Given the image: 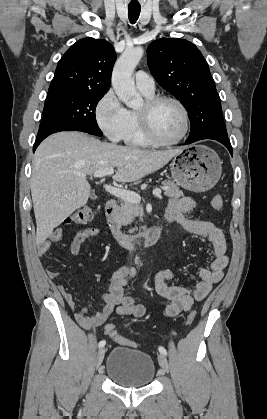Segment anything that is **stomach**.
I'll use <instances>...</instances> for the list:
<instances>
[{
	"label": "stomach",
	"mask_w": 267,
	"mask_h": 419,
	"mask_svg": "<svg viewBox=\"0 0 267 419\" xmlns=\"http://www.w3.org/2000/svg\"><path fill=\"white\" fill-rule=\"evenodd\" d=\"M222 162L217 153L204 145L185 146L170 164L173 180L182 188L205 192L219 180Z\"/></svg>",
	"instance_id": "stomach-1"
}]
</instances>
